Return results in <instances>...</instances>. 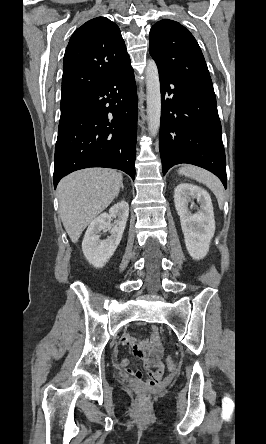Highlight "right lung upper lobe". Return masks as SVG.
I'll list each match as a JSON object with an SVG mask.
<instances>
[{
	"mask_svg": "<svg viewBox=\"0 0 266 444\" xmlns=\"http://www.w3.org/2000/svg\"><path fill=\"white\" fill-rule=\"evenodd\" d=\"M130 61L119 27L91 19L71 36L65 51L61 101H77Z\"/></svg>",
	"mask_w": 266,
	"mask_h": 444,
	"instance_id": "1",
	"label": "right lung upper lobe"
}]
</instances>
